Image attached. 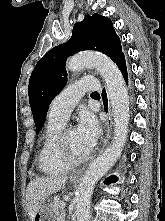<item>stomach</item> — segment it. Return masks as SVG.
Segmentation results:
<instances>
[{
	"label": "stomach",
	"mask_w": 165,
	"mask_h": 221,
	"mask_svg": "<svg viewBox=\"0 0 165 221\" xmlns=\"http://www.w3.org/2000/svg\"><path fill=\"white\" fill-rule=\"evenodd\" d=\"M71 182L75 183L76 180L71 178ZM34 221H57V216L53 213L50 204H43L37 211Z\"/></svg>",
	"instance_id": "stomach-1"
}]
</instances>
